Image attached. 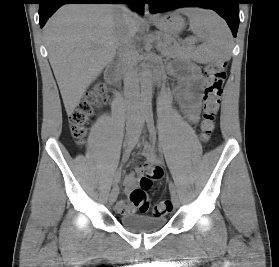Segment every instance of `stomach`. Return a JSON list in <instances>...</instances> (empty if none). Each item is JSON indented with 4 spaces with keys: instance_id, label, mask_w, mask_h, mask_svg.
<instances>
[{
    "instance_id": "0dacf381",
    "label": "stomach",
    "mask_w": 279,
    "mask_h": 267,
    "mask_svg": "<svg viewBox=\"0 0 279 267\" xmlns=\"http://www.w3.org/2000/svg\"><path fill=\"white\" fill-rule=\"evenodd\" d=\"M153 22L160 31L168 36L180 33L185 26L184 19L177 13L166 14L154 19Z\"/></svg>"
}]
</instances>
